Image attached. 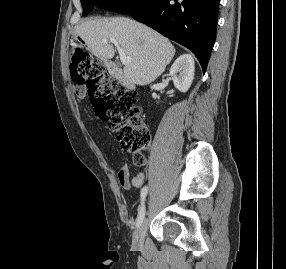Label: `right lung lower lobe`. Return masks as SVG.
Segmentation results:
<instances>
[{"label": "right lung lower lobe", "instance_id": "1", "mask_svg": "<svg viewBox=\"0 0 286 269\" xmlns=\"http://www.w3.org/2000/svg\"><path fill=\"white\" fill-rule=\"evenodd\" d=\"M219 3L220 0H157L132 16L190 49L205 73L215 42Z\"/></svg>", "mask_w": 286, "mask_h": 269}]
</instances>
